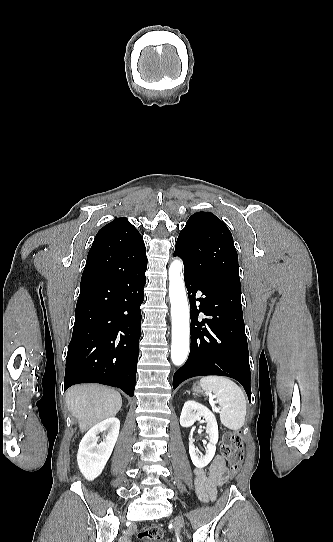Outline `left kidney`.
Segmentation results:
<instances>
[{"label": "left kidney", "instance_id": "1", "mask_svg": "<svg viewBox=\"0 0 333 542\" xmlns=\"http://www.w3.org/2000/svg\"><path fill=\"white\" fill-rule=\"evenodd\" d=\"M200 416H203L205 422H207L205 430L206 434H209V444L206 446L205 456H198L192 440H189V454L196 468H205V466L210 464L212 458H214L218 442V424L214 414L206 406H202L198 402H193V400H188L182 408L180 426L182 428H190L196 420H199Z\"/></svg>", "mask_w": 333, "mask_h": 542}]
</instances>
